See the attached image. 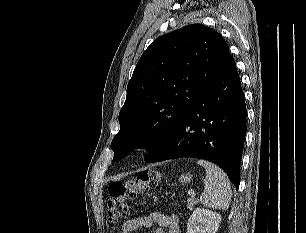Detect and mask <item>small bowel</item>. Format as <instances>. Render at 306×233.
<instances>
[{"instance_id": "c3829d8e", "label": "small bowel", "mask_w": 306, "mask_h": 233, "mask_svg": "<svg viewBox=\"0 0 306 233\" xmlns=\"http://www.w3.org/2000/svg\"><path fill=\"white\" fill-rule=\"evenodd\" d=\"M154 224L158 226L154 233H164V228L168 230V233H180L178 218L175 215H165L160 212L128 220L119 233H132L139 227L150 228Z\"/></svg>"}]
</instances>
